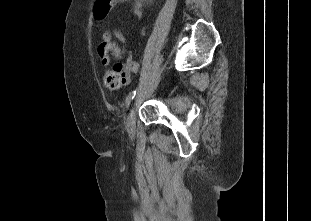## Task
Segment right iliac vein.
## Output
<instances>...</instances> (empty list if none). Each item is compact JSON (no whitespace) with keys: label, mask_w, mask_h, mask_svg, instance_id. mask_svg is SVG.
<instances>
[{"label":"right iliac vein","mask_w":311,"mask_h":221,"mask_svg":"<svg viewBox=\"0 0 311 221\" xmlns=\"http://www.w3.org/2000/svg\"><path fill=\"white\" fill-rule=\"evenodd\" d=\"M135 127V106H132L129 112V120L127 124V129L129 132H133Z\"/></svg>","instance_id":"63e3f726"}]
</instances>
